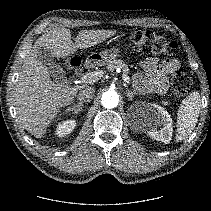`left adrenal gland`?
I'll use <instances>...</instances> for the list:
<instances>
[{
  "label": "left adrenal gland",
  "mask_w": 211,
  "mask_h": 211,
  "mask_svg": "<svg viewBox=\"0 0 211 211\" xmlns=\"http://www.w3.org/2000/svg\"><path fill=\"white\" fill-rule=\"evenodd\" d=\"M127 96H128V99L129 100H132L133 99V97L135 96V95H138V94H140V93H137V92H132V91H126V93H125Z\"/></svg>",
  "instance_id": "a2214340"
}]
</instances>
